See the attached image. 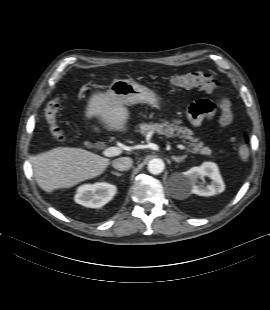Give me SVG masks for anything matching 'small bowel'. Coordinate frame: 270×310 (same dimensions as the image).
Masks as SVG:
<instances>
[{"mask_svg":"<svg viewBox=\"0 0 270 310\" xmlns=\"http://www.w3.org/2000/svg\"><path fill=\"white\" fill-rule=\"evenodd\" d=\"M219 107L221 109L219 123L222 127H226L232 122V113L229 101L226 98L221 99ZM206 116L207 115L205 114L199 113L195 108L194 104L192 105L188 113V118L193 125H198Z\"/></svg>","mask_w":270,"mask_h":310,"instance_id":"c3829d8e","label":"small bowel"}]
</instances>
